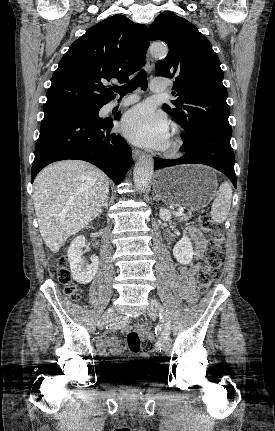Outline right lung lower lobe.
I'll return each instance as SVG.
<instances>
[{
	"instance_id": "1",
	"label": "right lung lower lobe",
	"mask_w": 275,
	"mask_h": 431,
	"mask_svg": "<svg viewBox=\"0 0 275 431\" xmlns=\"http://www.w3.org/2000/svg\"><path fill=\"white\" fill-rule=\"evenodd\" d=\"M120 116L119 112L113 119L118 120ZM112 121V118L96 119L71 112L45 114L36 144L31 182L46 165L59 160L77 159L96 165L119 184L133 164V159L131 148L124 138L110 132Z\"/></svg>"
}]
</instances>
